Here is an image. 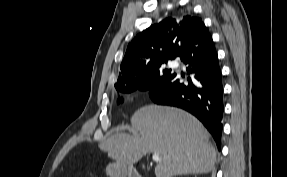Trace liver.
Here are the masks:
<instances>
[{"instance_id":"liver-1","label":"liver","mask_w":287,"mask_h":177,"mask_svg":"<svg viewBox=\"0 0 287 177\" xmlns=\"http://www.w3.org/2000/svg\"><path fill=\"white\" fill-rule=\"evenodd\" d=\"M134 134L116 132L100 148L117 162L133 166L148 153H158L156 177L208 173L216 150L209 133L191 114L177 108L147 105L131 118Z\"/></svg>"}]
</instances>
